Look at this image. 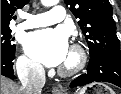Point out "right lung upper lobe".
Returning a JSON list of instances; mask_svg holds the SVG:
<instances>
[{
    "mask_svg": "<svg viewBox=\"0 0 121 94\" xmlns=\"http://www.w3.org/2000/svg\"><path fill=\"white\" fill-rule=\"evenodd\" d=\"M29 0H1V30L10 29L9 22L16 9L22 8Z\"/></svg>",
    "mask_w": 121,
    "mask_h": 94,
    "instance_id": "right-lung-upper-lobe-1",
    "label": "right lung upper lobe"
}]
</instances>
